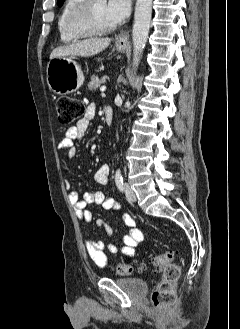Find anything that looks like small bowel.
Instances as JSON below:
<instances>
[{"instance_id": "small-bowel-1", "label": "small bowel", "mask_w": 240, "mask_h": 329, "mask_svg": "<svg viewBox=\"0 0 240 329\" xmlns=\"http://www.w3.org/2000/svg\"><path fill=\"white\" fill-rule=\"evenodd\" d=\"M95 113V104H88L83 116L74 126L66 131L65 137L58 143L57 150L59 152H66L67 156L71 159L77 157L78 151L74 146V142L85 135ZM109 174L110 166L108 164H102L93 175V181L99 185H105L108 182ZM65 186L70 188V182L65 181ZM68 199L79 219L85 224L90 223L93 218L92 212L88 209V206L91 204L101 205L105 210L112 211H118L121 208L119 201L113 197L106 196L102 191L86 192L82 198L79 197L77 192L71 191L68 195ZM121 219L127 227V233L123 237L122 246H117L114 243L105 244L103 241H95L90 237L84 239V247L88 256L101 268H105L108 264V257L104 252L105 248L110 253H117L120 251L130 258L135 255V248L143 239V233L137 228L136 222L131 215L123 214ZM96 225L103 229L109 236L112 235V228L104 219H97Z\"/></svg>"}]
</instances>
